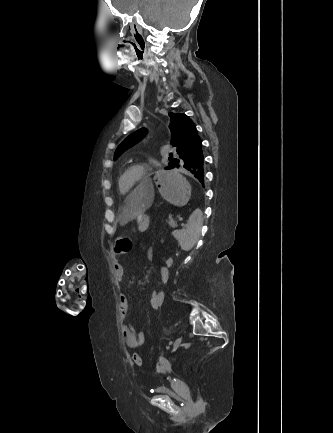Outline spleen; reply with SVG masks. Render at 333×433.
Wrapping results in <instances>:
<instances>
[{
    "label": "spleen",
    "mask_w": 333,
    "mask_h": 433,
    "mask_svg": "<svg viewBox=\"0 0 333 433\" xmlns=\"http://www.w3.org/2000/svg\"><path fill=\"white\" fill-rule=\"evenodd\" d=\"M185 204V203H184ZM203 213L198 206L193 207L191 216L186 228L176 230L173 233L175 239L179 242L181 249L184 251L191 250L200 237Z\"/></svg>",
    "instance_id": "obj_1"
}]
</instances>
